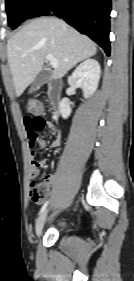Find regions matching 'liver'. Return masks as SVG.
I'll return each instance as SVG.
<instances>
[{"label": "liver", "mask_w": 134, "mask_h": 281, "mask_svg": "<svg viewBox=\"0 0 134 281\" xmlns=\"http://www.w3.org/2000/svg\"><path fill=\"white\" fill-rule=\"evenodd\" d=\"M97 52L96 44L64 21L41 17L27 23L7 43V57L15 93L20 96L42 70L46 55L58 60L55 78Z\"/></svg>", "instance_id": "1"}]
</instances>
